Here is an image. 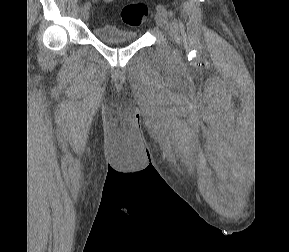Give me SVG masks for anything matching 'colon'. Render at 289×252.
I'll list each match as a JSON object with an SVG mask.
<instances>
[{"label": "colon", "mask_w": 289, "mask_h": 252, "mask_svg": "<svg viewBox=\"0 0 289 252\" xmlns=\"http://www.w3.org/2000/svg\"><path fill=\"white\" fill-rule=\"evenodd\" d=\"M149 14L148 7L143 3H129L121 13L122 21L128 26H140Z\"/></svg>", "instance_id": "1"}]
</instances>
